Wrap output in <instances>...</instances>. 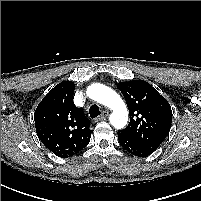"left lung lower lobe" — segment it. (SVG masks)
I'll return each mask as SVG.
<instances>
[{"instance_id":"left-lung-lower-lobe-1","label":"left lung lower lobe","mask_w":201,"mask_h":201,"mask_svg":"<svg viewBox=\"0 0 201 201\" xmlns=\"http://www.w3.org/2000/svg\"><path fill=\"white\" fill-rule=\"evenodd\" d=\"M118 140L120 145L127 150L129 153L138 156V157H146L152 154L154 151L139 144L128 135L118 131Z\"/></svg>"}]
</instances>
